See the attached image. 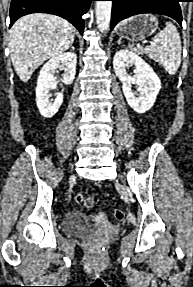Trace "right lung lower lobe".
I'll use <instances>...</instances> for the list:
<instances>
[{
	"mask_svg": "<svg viewBox=\"0 0 193 287\" xmlns=\"http://www.w3.org/2000/svg\"><path fill=\"white\" fill-rule=\"evenodd\" d=\"M94 0H12L10 5V27L20 17L31 13H50L65 18L80 33L84 30L85 14Z\"/></svg>",
	"mask_w": 193,
	"mask_h": 287,
	"instance_id": "98d812e1",
	"label": "right lung lower lobe"
}]
</instances>
